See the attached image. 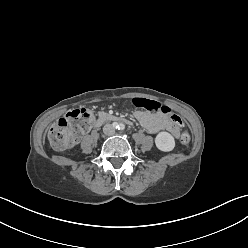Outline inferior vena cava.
Instances as JSON below:
<instances>
[{
  "label": "inferior vena cava",
  "instance_id": "obj_1",
  "mask_svg": "<svg viewBox=\"0 0 248 248\" xmlns=\"http://www.w3.org/2000/svg\"><path fill=\"white\" fill-rule=\"evenodd\" d=\"M103 132L106 135H113L115 133V127L112 124H106L103 127Z\"/></svg>",
  "mask_w": 248,
  "mask_h": 248
}]
</instances>
